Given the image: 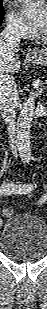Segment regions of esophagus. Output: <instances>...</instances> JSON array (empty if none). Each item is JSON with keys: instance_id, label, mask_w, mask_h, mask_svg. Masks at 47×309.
Returning <instances> with one entry per match:
<instances>
[{"instance_id": "obj_1", "label": "esophagus", "mask_w": 47, "mask_h": 309, "mask_svg": "<svg viewBox=\"0 0 47 309\" xmlns=\"http://www.w3.org/2000/svg\"><path fill=\"white\" fill-rule=\"evenodd\" d=\"M28 54H29V55H35V54H37V50L34 49V48H29V49H28Z\"/></svg>"}]
</instances>
